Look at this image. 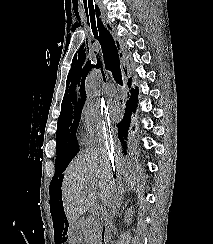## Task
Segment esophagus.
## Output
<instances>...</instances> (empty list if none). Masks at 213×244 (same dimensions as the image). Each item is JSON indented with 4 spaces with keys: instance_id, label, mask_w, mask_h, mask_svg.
<instances>
[{
    "instance_id": "esophagus-1",
    "label": "esophagus",
    "mask_w": 213,
    "mask_h": 244,
    "mask_svg": "<svg viewBox=\"0 0 213 244\" xmlns=\"http://www.w3.org/2000/svg\"><path fill=\"white\" fill-rule=\"evenodd\" d=\"M119 52H123V47L119 46ZM122 65H123V73H124V77H125V82L127 87L130 84V74L129 71L125 68V62L122 60Z\"/></svg>"
}]
</instances>
